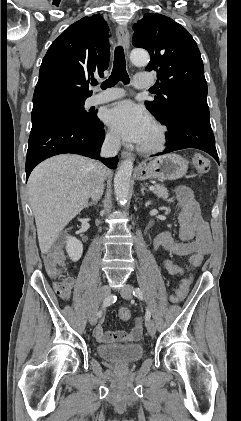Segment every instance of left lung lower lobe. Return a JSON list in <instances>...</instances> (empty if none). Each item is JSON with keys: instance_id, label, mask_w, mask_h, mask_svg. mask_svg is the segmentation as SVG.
Instances as JSON below:
<instances>
[{"instance_id": "1", "label": "left lung lower lobe", "mask_w": 241, "mask_h": 421, "mask_svg": "<svg viewBox=\"0 0 241 421\" xmlns=\"http://www.w3.org/2000/svg\"><path fill=\"white\" fill-rule=\"evenodd\" d=\"M168 141L166 149L160 153L196 148L210 154L218 163L215 138L209 121V108L195 105L179 117L174 131L166 135Z\"/></svg>"}]
</instances>
